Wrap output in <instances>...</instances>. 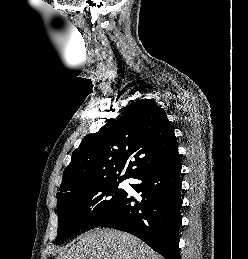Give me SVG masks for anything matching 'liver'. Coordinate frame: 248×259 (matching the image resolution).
Masks as SVG:
<instances>
[{
  "label": "liver",
  "mask_w": 248,
  "mask_h": 259,
  "mask_svg": "<svg viewBox=\"0 0 248 259\" xmlns=\"http://www.w3.org/2000/svg\"><path fill=\"white\" fill-rule=\"evenodd\" d=\"M55 259H162L137 237L112 229H95L61 250Z\"/></svg>",
  "instance_id": "1"
}]
</instances>
